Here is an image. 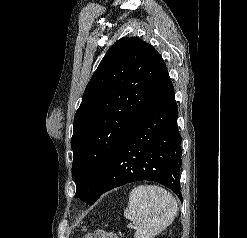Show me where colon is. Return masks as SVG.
<instances>
[{
	"instance_id": "1",
	"label": "colon",
	"mask_w": 247,
	"mask_h": 238,
	"mask_svg": "<svg viewBox=\"0 0 247 238\" xmlns=\"http://www.w3.org/2000/svg\"><path fill=\"white\" fill-rule=\"evenodd\" d=\"M83 238H119V236L111 231L97 229L90 233H87Z\"/></svg>"
}]
</instances>
